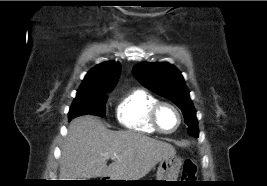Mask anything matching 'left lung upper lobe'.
<instances>
[{
	"label": "left lung upper lobe",
	"mask_w": 267,
	"mask_h": 186,
	"mask_svg": "<svg viewBox=\"0 0 267 186\" xmlns=\"http://www.w3.org/2000/svg\"><path fill=\"white\" fill-rule=\"evenodd\" d=\"M134 76L147 88L166 97L182 111L188 133L198 137L196 111L183 76L172 64L140 63L133 69Z\"/></svg>",
	"instance_id": "obj_1"
}]
</instances>
